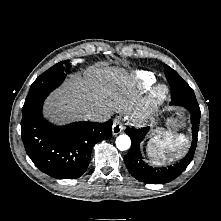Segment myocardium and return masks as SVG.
Masks as SVG:
<instances>
[{"label": "myocardium", "mask_w": 221, "mask_h": 221, "mask_svg": "<svg viewBox=\"0 0 221 221\" xmlns=\"http://www.w3.org/2000/svg\"><path fill=\"white\" fill-rule=\"evenodd\" d=\"M169 90L165 85H158L151 93V96L147 100L142 118H147L154 115L160 105H162L168 98Z\"/></svg>", "instance_id": "myocardium-1"}]
</instances>
